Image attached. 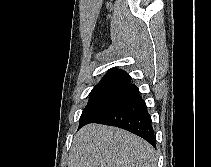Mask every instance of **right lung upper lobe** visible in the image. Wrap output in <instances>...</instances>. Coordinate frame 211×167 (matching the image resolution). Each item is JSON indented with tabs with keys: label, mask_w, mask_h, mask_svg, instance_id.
I'll return each instance as SVG.
<instances>
[{
	"label": "right lung upper lobe",
	"mask_w": 211,
	"mask_h": 167,
	"mask_svg": "<svg viewBox=\"0 0 211 167\" xmlns=\"http://www.w3.org/2000/svg\"><path fill=\"white\" fill-rule=\"evenodd\" d=\"M131 77L123 70L111 68L101 81L115 80V81H130Z\"/></svg>",
	"instance_id": "1"
}]
</instances>
